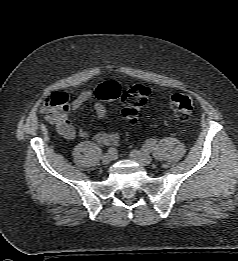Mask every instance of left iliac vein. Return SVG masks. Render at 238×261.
Returning a JSON list of instances; mask_svg holds the SVG:
<instances>
[{"instance_id":"1","label":"left iliac vein","mask_w":238,"mask_h":261,"mask_svg":"<svg viewBox=\"0 0 238 261\" xmlns=\"http://www.w3.org/2000/svg\"><path fill=\"white\" fill-rule=\"evenodd\" d=\"M130 157L132 160L136 161L142 166H146L152 163V157L144 151L132 150L130 152Z\"/></svg>"}]
</instances>
